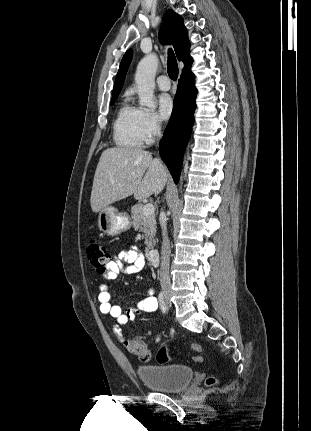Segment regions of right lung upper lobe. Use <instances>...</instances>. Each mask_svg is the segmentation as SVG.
Segmentation results:
<instances>
[{"mask_svg":"<svg viewBox=\"0 0 311 431\" xmlns=\"http://www.w3.org/2000/svg\"><path fill=\"white\" fill-rule=\"evenodd\" d=\"M159 39L162 44L173 45L179 61L184 62L183 72L190 69L192 58L189 56L188 32L183 24V19L173 10H168L163 18V23L159 31ZM132 59V50L129 49L121 61L118 74L116 76L112 98L117 97L121 91L127 69Z\"/></svg>","mask_w":311,"mask_h":431,"instance_id":"1","label":"right lung upper lobe"}]
</instances>
